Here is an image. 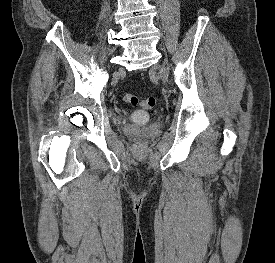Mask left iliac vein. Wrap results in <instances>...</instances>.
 I'll use <instances>...</instances> for the list:
<instances>
[{"mask_svg": "<svg viewBox=\"0 0 275 263\" xmlns=\"http://www.w3.org/2000/svg\"><path fill=\"white\" fill-rule=\"evenodd\" d=\"M159 69V73L161 74V77L163 78L164 81L167 80V76H166V70L163 66H156L154 67V69Z\"/></svg>", "mask_w": 275, "mask_h": 263, "instance_id": "1", "label": "left iliac vein"}]
</instances>
